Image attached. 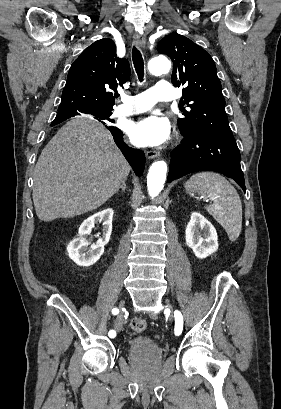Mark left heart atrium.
<instances>
[{
	"instance_id": "1",
	"label": "left heart atrium",
	"mask_w": 281,
	"mask_h": 409,
	"mask_svg": "<svg viewBox=\"0 0 281 409\" xmlns=\"http://www.w3.org/2000/svg\"><path fill=\"white\" fill-rule=\"evenodd\" d=\"M130 136L140 147H158L170 138V124L161 116L147 115L131 125Z\"/></svg>"
}]
</instances>
